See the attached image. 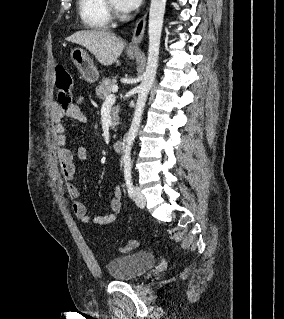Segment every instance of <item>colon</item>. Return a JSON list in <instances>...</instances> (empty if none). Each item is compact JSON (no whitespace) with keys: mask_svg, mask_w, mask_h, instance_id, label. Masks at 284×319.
I'll return each instance as SVG.
<instances>
[{"mask_svg":"<svg viewBox=\"0 0 284 319\" xmlns=\"http://www.w3.org/2000/svg\"><path fill=\"white\" fill-rule=\"evenodd\" d=\"M56 74V81H55V88H56V97L57 102L61 106L62 109H67L71 102L73 96V82L72 77L68 70L63 66H58L55 70ZM139 243L135 239H131L128 243L119 248L118 251L121 253H127L137 249Z\"/></svg>","mask_w":284,"mask_h":319,"instance_id":"obj_1","label":"colon"}]
</instances>
